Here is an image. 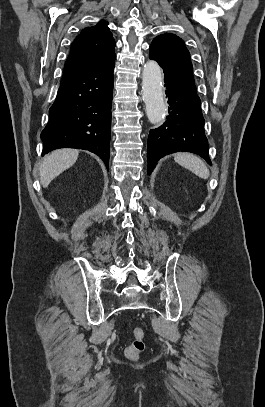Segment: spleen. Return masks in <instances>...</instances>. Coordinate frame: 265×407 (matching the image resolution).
Instances as JSON below:
<instances>
[{
  "instance_id": "obj_1",
  "label": "spleen",
  "mask_w": 265,
  "mask_h": 407,
  "mask_svg": "<svg viewBox=\"0 0 265 407\" xmlns=\"http://www.w3.org/2000/svg\"><path fill=\"white\" fill-rule=\"evenodd\" d=\"M174 160L200 178L207 179L209 177L210 173L205 163L193 154L178 153L175 155Z\"/></svg>"
}]
</instances>
